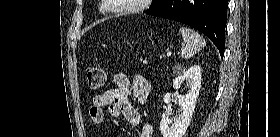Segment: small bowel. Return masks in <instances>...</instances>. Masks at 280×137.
<instances>
[{"label":"small bowel","mask_w":280,"mask_h":137,"mask_svg":"<svg viewBox=\"0 0 280 137\" xmlns=\"http://www.w3.org/2000/svg\"><path fill=\"white\" fill-rule=\"evenodd\" d=\"M115 87L108 88L102 94L94 95L89 106V116L93 123L104 120L103 108L107 107L112 118L124 117L138 128V137H152V125L144 121L142 115L132 104L134 98L144 102L150 92V82L142 75H135L132 79L118 72L113 77Z\"/></svg>","instance_id":"obj_1"}]
</instances>
